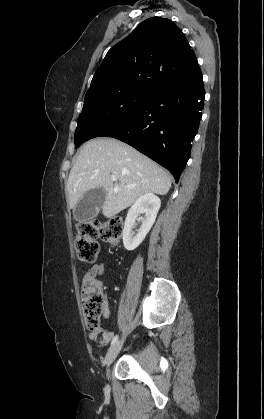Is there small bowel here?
Instances as JSON below:
<instances>
[{
	"instance_id": "c3829d8e",
	"label": "small bowel",
	"mask_w": 264,
	"mask_h": 419,
	"mask_svg": "<svg viewBox=\"0 0 264 419\" xmlns=\"http://www.w3.org/2000/svg\"><path fill=\"white\" fill-rule=\"evenodd\" d=\"M104 271H105V265L104 264H96V265H94L92 268H90L86 273H85V275H91V276H94V277H99V276H101V275H103L104 274ZM103 317L105 318V319H107V318H109L110 317V309H109V306H108V304H106V307H105V309H104V311H103ZM89 337H90V339L92 340V341H94L98 346H100V347H104V346H106L109 342H110V340L112 339V337H113V332H111V331H106V332H104V333H102V334H100L99 332H96V331H92L90 334H89Z\"/></svg>"
}]
</instances>
